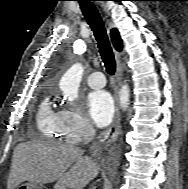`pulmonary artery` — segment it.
Here are the masks:
<instances>
[{
	"label": "pulmonary artery",
	"instance_id": "pulmonary-artery-1",
	"mask_svg": "<svg viewBox=\"0 0 188 189\" xmlns=\"http://www.w3.org/2000/svg\"><path fill=\"white\" fill-rule=\"evenodd\" d=\"M87 84L94 89H99L105 86L106 80L101 72H93L91 73L87 79Z\"/></svg>",
	"mask_w": 188,
	"mask_h": 189
}]
</instances>
